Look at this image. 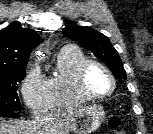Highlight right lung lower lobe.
<instances>
[{"instance_id": "1", "label": "right lung lower lobe", "mask_w": 153, "mask_h": 134, "mask_svg": "<svg viewBox=\"0 0 153 134\" xmlns=\"http://www.w3.org/2000/svg\"><path fill=\"white\" fill-rule=\"evenodd\" d=\"M0 117L18 118L19 115L17 112L13 111H0Z\"/></svg>"}]
</instances>
